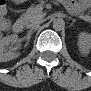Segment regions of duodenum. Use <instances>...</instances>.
<instances>
[{"label":"duodenum","instance_id":"obj_1","mask_svg":"<svg viewBox=\"0 0 91 91\" xmlns=\"http://www.w3.org/2000/svg\"><path fill=\"white\" fill-rule=\"evenodd\" d=\"M24 21L22 19L16 20L12 25V30L15 33H21L24 30Z\"/></svg>","mask_w":91,"mask_h":91}]
</instances>
